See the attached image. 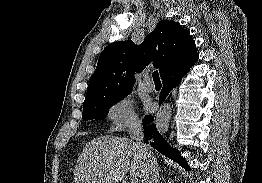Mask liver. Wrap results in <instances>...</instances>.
I'll return each mask as SVG.
<instances>
[{
    "mask_svg": "<svg viewBox=\"0 0 262 183\" xmlns=\"http://www.w3.org/2000/svg\"><path fill=\"white\" fill-rule=\"evenodd\" d=\"M142 166L143 160L133 140L99 136L79 155L74 180L75 183H117L128 171L131 177L141 178Z\"/></svg>",
    "mask_w": 262,
    "mask_h": 183,
    "instance_id": "1",
    "label": "liver"
}]
</instances>
